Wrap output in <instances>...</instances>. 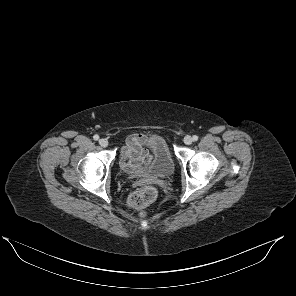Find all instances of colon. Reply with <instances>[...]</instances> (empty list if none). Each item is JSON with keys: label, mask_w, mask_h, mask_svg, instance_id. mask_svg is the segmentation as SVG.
<instances>
[{"label": "colon", "mask_w": 296, "mask_h": 296, "mask_svg": "<svg viewBox=\"0 0 296 296\" xmlns=\"http://www.w3.org/2000/svg\"><path fill=\"white\" fill-rule=\"evenodd\" d=\"M156 190L152 186L142 187L133 192L128 199V204L135 209H144L154 202Z\"/></svg>", "instance_id": "colon-1"}]
</instances>
